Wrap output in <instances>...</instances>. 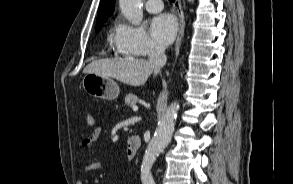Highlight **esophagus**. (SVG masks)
Listing matches in <instances>:
<instances>
[{
  "mask_svg": "<svg viewBox=\"0 0 293 184\" xmlns=\"http://www.w3.org/2000/svg\"><path fill=\"white\" fill-rule=\"evenodd\" d=\"M174 6L176 9L178 19H179V32H178V36H177L176 43H175V49H174L175 55L177 56L179 54L181 41L184 36L185 16H184V12L182 9L181 0H176Z\"/></svg>",
  "mask_w": 293,
  "mask_h": 184,
  "instance_id": "obj_1",
  "label": "esophagus"
}]
</instances>
